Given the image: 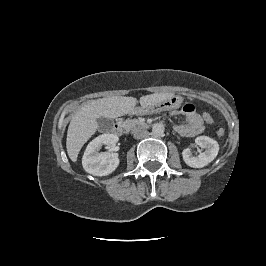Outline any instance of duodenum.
Here are the masks:
<instances>
[{
    "label": "duodenum",
    "mask_w": 266,
    "mask_h": 266,
    "mask_svg": "<svg viewBox=\"0 0 266 266\" xmlns=\"http://www.w3.org/2000/svg\"><path fill=\"white\" fill-rule=\"evenodd\" d=\"M115 132L121 135L125 130V124L123 121H118L114 125Z\"/></svg>",
    "instance_id": "1"
}]
</instances>
